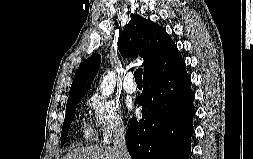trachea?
Segmentation results:
<instances>
[{
  "label": "trachea",
  "instance_id": "trachea-1",
  "mask_svg": "<svg viewBox=\"0 0 253 159\" xmlns=\"http://www.w3.org/2000/svg\"><path fill=\"white\" fill-rule=\"evenodd\" d=\"M142 73H143L142 68H138V69L134 72V77H135L136 83L142 82Z\"/></svg>",
  "mask_w": 253,
  "mask_h": 159
}]
</instances>
